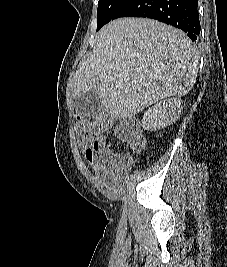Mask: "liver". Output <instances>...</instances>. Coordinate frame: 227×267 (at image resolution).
<instances>
[{
  "label": "liver",
  "mask_w": 227,
  "mask_h": 267,
  "mask_svg": "<svg viewBox=\"0 0 227 267\" xmlns=\"http://www.w3.org/2000/svg\"><path fill=\"white\" fill-rule=\"evenodd\" d=\"M198 53L185 33L152 19L121 18L105 25L92 53L79 65L72 95L98 90L120 119L194 86Z\"/></svg>",
  "instance_id": "liver-1"
}]
</instances>
